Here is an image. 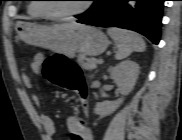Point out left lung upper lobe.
<instances>
[{"label":"left lung upper lobe","instance_id":"5c2ea615","mask_svg":"<svg viewBox=\"0 0 182 140\" xmlns=\"http://www.w3.org/2000/svg\"><path fill=\"white\" fill-rule=\"evenodd\" d=\"M98 1H99V0H96V3H97ZM94 6H95V5H94ZM87 12H88V11H87ZM87 12H86V13H87ZM86 13H85V14H86Z\"/></svg>","mask_w":182,"mask_h":140}]
</instances>
